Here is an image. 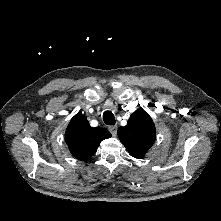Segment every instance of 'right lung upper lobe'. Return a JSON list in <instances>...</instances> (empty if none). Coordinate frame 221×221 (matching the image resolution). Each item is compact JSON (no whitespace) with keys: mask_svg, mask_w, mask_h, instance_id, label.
<instances>
[{"mask_svg":"<svg viewBox=\"0 0 221 221\" xmlns=\"http://www.w3.org/2000/svg\"><path fill=\"white\" fill-rule=\"evenodd\" d=\"M111 133L101 127H91L84 115H75L65 133V140L72 155L79 160L92 157L102 140L110 138Z\"/></svg>","mask_w":221,"mask_h":221,"instance_id":"obj_1","label":"right lung upper lobe"}]
</instances>
